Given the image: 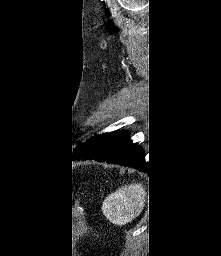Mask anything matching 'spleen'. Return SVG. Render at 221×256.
I'll return each instance as SVG.
<instances>
[{
	"instance_id": "1",
	"label": "spleen",
	"mask_w": 221,
	"mask_h": 256,
	"mask_svg": "<svg viewBox=\"0 0 221 256\" xmlns=\"http://www.w3.org/2000/svg\"><path fill=\"white\" fill-rule=\"evenodd\" d=\"M146 202V190L141 183L125 185L106 197L102 212L116 225L131 222L143 210Z\"/></svg>"
}]
</instances>
